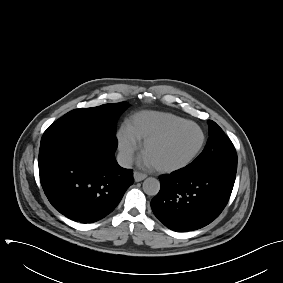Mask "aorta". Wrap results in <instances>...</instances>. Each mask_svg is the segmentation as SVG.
<instances>
[{
    "instance_id": "aorta-1",
    "label": "aorta",
    "mask_w": 283,
    "mask_h": 283,
    "mask_svg": "<svg viewBox=\"0 0 283 283\" xmlns=\"http://www.w3.org/2000/svg\"><path fill=\"white\" fill-rule=\"evenodd\" d=\"M160 190V182L156 178L149 177L143 182V191L149 196H155Z\"/></svg>"
}]
</instances>
